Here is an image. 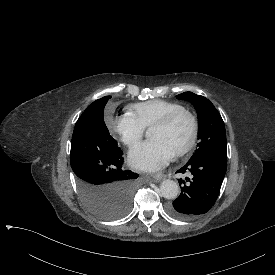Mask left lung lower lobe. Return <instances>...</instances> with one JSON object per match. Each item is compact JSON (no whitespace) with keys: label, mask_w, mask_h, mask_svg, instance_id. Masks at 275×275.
Returning <instances> with one entry per match:
<instances>
[{"label":"left lung lower lobe","mask_w":275,"mask_h":275,"mask_svg":"<svg viewBox=\"0 0 275 275\" xmlns=\"http://www.w3.org/2000/svg\"><path fill=\"white\" fill-rule=\"evenodd\" d=\"M227 169V154L212 153L189 160L176 173L191 172L190 185L181 188L180 196L168 206V212L178 219H191L204 214L215 204ZM181 183V179L179 180Z\"/></svg>","instance_id":"1"}]
</instances>
